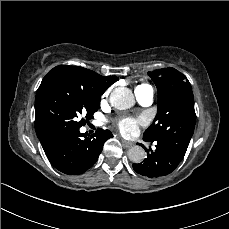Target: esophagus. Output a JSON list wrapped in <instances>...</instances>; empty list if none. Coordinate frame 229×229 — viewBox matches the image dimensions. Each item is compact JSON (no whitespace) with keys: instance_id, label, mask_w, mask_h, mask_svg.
<instances>
[{"instance_id":"34e87169","label":"esophagus","mask_w":229,"mask_h":229,"mask_svg":"<svg viewBox=\"0 0 229 229\" xmlns=\"http://www.w3.org/2000/svg\"><path fill=\"white\" fill-rule=\"evenodd\" d=\"M122 144L125 148H130L133 146V143L127 140L122 139Z\"/></svg>"}]
</instances>
